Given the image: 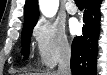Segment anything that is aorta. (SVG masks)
<instances>
[{
	"instance_id": "762f6f07",
	"label": "aorta",
	"mask_w": 107,
	"mask_h": 75,
	"mask_svg": "<svg viewBox=\"0 0 107 75\" xmlns=\"http://www.w3.org/2000/svg\"><path fill=\"white\" fill-rule=\"evenodd\" d=\"M39 6L44 16L53 17L58 10L59 0H40Z\"/></svg>"
}]
</instances>
